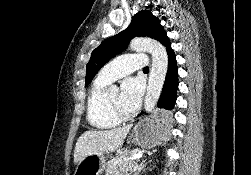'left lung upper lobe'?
Listing matches in <instances>:
<instances>
[{
	"label": "left lung upper lobe",
	"mask_w": 251,
	"mask_h": 175,
	"mask_svg": "<svg viewBox=\"0 0 251 175\" xmlns=\"http://www.w3.org/2000/svg\"><path fill=\"white\" fill-rule=\"evenodd\" d=\"M166 32L160 20L149 10L135 14L128 28L104 40L91 54L86 66V86L91 83L97 72L115 55L124 51L135 36L150 37L159 41Z\"/></svg>",
	"instance_id": "5c2ea615"
}]
</instances>
